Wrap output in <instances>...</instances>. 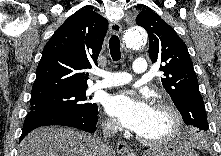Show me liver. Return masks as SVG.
I'll return each mask as SVG.
<instances>
[{"mask_svg": "<svg viewBox=\"0 0 221 156\" xmlns=\"http://www.w3.org/2000/svg\"><path fill=\"white\" fill-rule=\"evenodd\" d=\"M19 156H104L93 135L65 127H41L20 143ZM106 152L105 156H111Z\"/></svg>", "mask_w": 221, "mask_h": 156, "instance_id": "obj_1", "label": "liver"}]
</instances>
